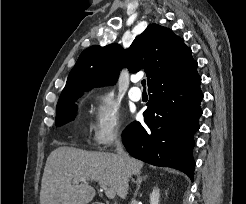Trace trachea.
Here are the masks:
<instances>
[{"label": "trachea", "mask_w": 246, "mask_h": 204, "mask_svg": "<svg viewBox=\"0 0 246 204\" xmlns=\"http://www.w3.org/2000/svg\"><path fill=\"white\" fill-rule=\"evenodd\" d=\"M141 84H142V85H143V87L145 88L146 81H145V80H142V81H141Z\"/></svg>", "instance_id": "1"}]
</instances>
